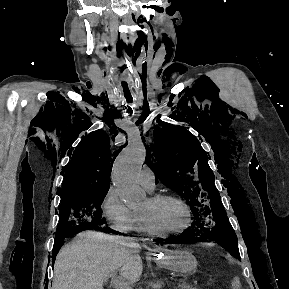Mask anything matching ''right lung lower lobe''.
Listing matches in <instances>:
<instances>
[{"label": "right lung lower lobe", "mask_w": 289, "mask_h": 289, "mask_svg": "<svg viewBox=\"0 0 289 289\" xmlns=\"http://www.w3.org/2000/svg\"><path fill=\"white\" fill-rule=\"evenodd\" d=\"M95 230H99V231H102V232H105V233H115V234H118V232L108 228V227H104L102 226L101 228H95ZM83 231V230H81ZM78 232L80 231H76V232H72V233H69L67 236H55V242H54V250H53V262L55 261V257L64 241V239L66 237H70V236H73L75 234H77Z\"/></svg>", "instance_id": "98d812e1"}]
</instances>
